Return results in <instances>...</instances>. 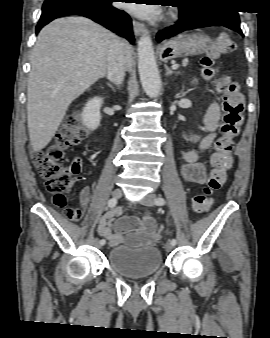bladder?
Instances as JSON below:
<instances>
[{"instance_id": "obj_1", "label": "bladder", "mask_w": 270, "mask_h": 338, "mask_svg": "<svg viewBox=\"0 0 270 338\" xmlns=\"http://www.w3.org/2000/svg\"><path fill=\"white\" fill-rule=\"evenodd\" d=\"M107 265L119 276L137 279L155 275L162 266V256L155 246L132 248L119 244L108 251Z\"/></svg>"}]
</instances>
